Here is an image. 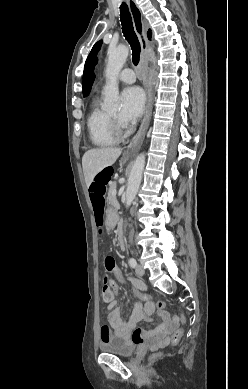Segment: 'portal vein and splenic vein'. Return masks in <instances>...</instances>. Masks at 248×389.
I'll return each mask as SVG.
<instances>
[{"instance_id": "portal-vein-and-splenic-vein-1", "label": "portal vein and splenic vein", "mask_w": 248, "mask_h": 389, "mask_svg": "<svg viewBox=\"0 0 248 389\" xmlns=\"http://www.w3.org/2000/svg\"><path fill=\"white\" fill-rule=\"evenodd\" d=\"M113 195H116V191L113 192Z\"/></svg>"}]
</instances>
